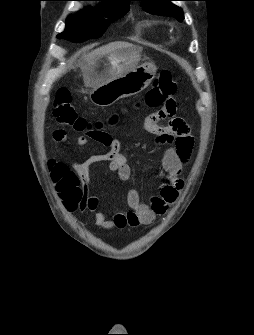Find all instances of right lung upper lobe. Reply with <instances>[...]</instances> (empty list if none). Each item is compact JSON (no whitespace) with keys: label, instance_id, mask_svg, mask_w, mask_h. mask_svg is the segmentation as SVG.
Wrapping results in <instances>:
<instances>
[{"label":"right lung upper lobe","instance_id":"cb5924a9","mask_svg":"<svg viewBox=\"0 0 254 335\" xmlns=\"http://www.w3.org/2000/svg\"><path fill=\"white\" fill-rule=\"evenodd\" d=\"M82 1H104V5H129L131 0H82Z\"/></svg>","mask_w":254,"mask_h":335}]
</instances>
